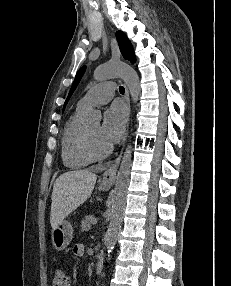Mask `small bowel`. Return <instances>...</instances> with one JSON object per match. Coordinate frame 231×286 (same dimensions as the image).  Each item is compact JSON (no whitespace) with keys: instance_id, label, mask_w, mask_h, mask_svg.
Returning <instances> with one entry per match:
<instances>
[{"instance_id":"1","label":"small bowel","mask_w":231,"mask_h":286,"mask_svg":"<svg viewBox=\"0 0 231 286\" xmlns=\"http://www.w3.org/2000/svg\"><path fill=\"white\" fill-rule=\"evenodd\" d=\"M85 248L83 244H77L73 247V254L76 257H82L84 255Z\"/></svg>"}]
</instances>
